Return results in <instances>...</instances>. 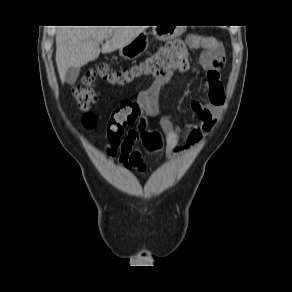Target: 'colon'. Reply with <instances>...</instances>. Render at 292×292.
<instances>
[{"label":"colon","mask_w":292,"mask_h":292,"mask_svg":"<svg viewBox=\"0 0 292 292\" xmlns=\"http://www.w3.org/2000/svg\"><path fill=\"white\" fill-rule=\"evenodd\" d=\"M185 58L184 44L174 41L164 45L144 62L134 67L115 69L107 64H101L82 76L79 83L73 86L72 95L79 108L87 111L97 100L93 89L96 79L101 78L111 84L123 85L141 76L162 78L174 67L183 64ZM159 90L152 86L136 100L123 101L112 112L106 126V152L108 155L113 156L116 153L126 127L134 122L138 123L142 131V144L146 152L151 156L161 152L163 148L161 134L148 128V122L160 113ZM82 124L85 129L94 130L97 124L96 116L93 113L85 112Z\"/></svg>","instance_id":"colon-1"}]
</instances>
